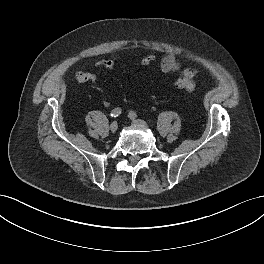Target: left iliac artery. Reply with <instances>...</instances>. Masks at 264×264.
I'll return each instance as SVG.
<instances>
[{
    "label": "left iliac artery",
    "instance_id": "1",
    "mask_svg": "<svg viewBox=\"0 0 264 264\" xmlns=\"http://www.w3.org/2000/svg\"><path fill=\"white\" fill-rule=\"evenodd\" d=\"M129 117H130L131 119L136 118V117H137L136 112H134V111H130V112H129Z\"/></svg>",
    "mask_w": 264,
    "mask_h": 264
}]
</instances>
